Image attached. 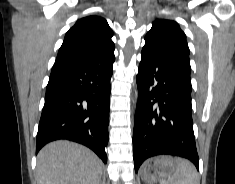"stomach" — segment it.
Here are the masks:
<instances>
[{
    "instance_id": "1",
    "label": "stomach",
    "mask_w": 235,
    "mask_h": 184,
    "mask_svg": "<svg viewBox=\"0 0 235 184\" xmlns=\"http://www.w3.org/2000/svg\"><path fill=\"white\" fill-rule=\"evenodd\" d=\"M171 156H158L153 158L141 168V178L147 184H155L158 180L169 178L174 170Z\"/></svg>"
}]
</instances>
